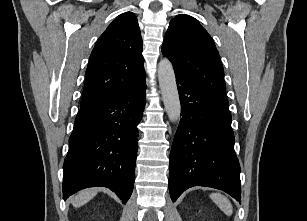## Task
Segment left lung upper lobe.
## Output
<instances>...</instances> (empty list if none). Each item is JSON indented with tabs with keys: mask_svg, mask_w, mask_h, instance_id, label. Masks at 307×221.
<instances>
[{
	"mask_svg": "<svg viewBox=\"0 0 307 221\" xmlns=\"http://www.w3.org/2000/svg\"><path fill=\"white\" fill-rule=\"evenodd\" d=\"M162 53L199 90L228 104L223 66L214 41L192 16L177 15L169 23Z\"/></svg>",
	"mask_w": 307,
	"mask_h": 221,
	"instance_id": "left-lung-upper-lobe-1",
	"label": "left lung upper lobe"
}]
</instances>
